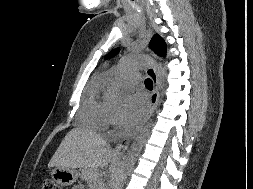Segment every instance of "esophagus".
I'll use <instances>...</instances> for the list:
<instances>
[{"label":"esophagus","mask_w":253,"mask_h":189,"mask_svg":"<svg viewBox=\"0 0 253 189\" xmlns=\"http://www.w3.org/2000/svg\"><path fill=\"white\" fill-rule=\"evenodd\" d=\"M147 74L151 78L153 82V91L150 95V105L148 112L146 116L144 117L143 121L140 123V125L133 130L129 135H127L117 146L115 149V152L117 154H123L127 147L129 146L130 142L135 138V136L140 132V130L143 128L144 124L147 122V120L150 118L152 113L154 112L158 99H159V80L156 73V70L154 68L147 69Z\"/></svg>","instance_id":"obj_1"}]
</instances>
